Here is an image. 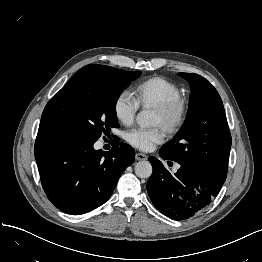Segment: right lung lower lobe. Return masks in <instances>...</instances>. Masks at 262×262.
I'll list each match as a JSON object with an SVG mask.
<instances>
[{
  "instance_id": "98d812e1",
  "label": "right lung lower lobe",
  "mask_w": 262,
  "mask_h": 262,
  "mask_svg": "<svg viewBox=\"0 0 262 262\" xmlns=\"http://www.w3.org/2000/svg\"><path fill=\"white\" fill-rule=\"evenodd\" d=\"M95 142L64 130H38L34 152L42 186L65 213L79 215L105 203L134 161V149L125 143L103 152L93 148Z\"/></svg>"
}]
</instances>
